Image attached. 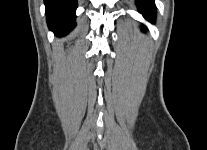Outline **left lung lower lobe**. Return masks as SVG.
<instances>
[{
  "label": "left lung lower lobe",
  "instance_id": "1",
  "mask_svg": "<svg viewBox=\"0 0 207 150\" xmlns=\"http://www.w3.org/2000/svg\"><path fill=\"white\" fill-rule=\"evenodd\" d=\"M136 4L138 6V9L140 13L143 14V16L153 22L155 15H156V7L153 0H137Z\"/></svg>",
  "mask_w": 207,
  "mask_h": 150
}]
</instances>
